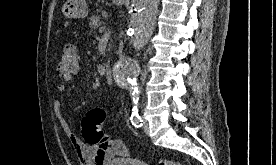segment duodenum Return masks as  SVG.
Masks as SVG:
<instances>
[{"label":"duodenum","instance_id":"410a0bca","mask_svg":"<svg viewBox=\"0 0 276 165\" xmlns=\"http://www.w3.org/2000/svg\"><path fill=\"white\" fill-rule=\"evenodd\" d=\"M104 75L108 81H112V69L111 66L107 65L104 69Z\"/></svg>","mask_w":276,"mask_h":165}]
</instances>
